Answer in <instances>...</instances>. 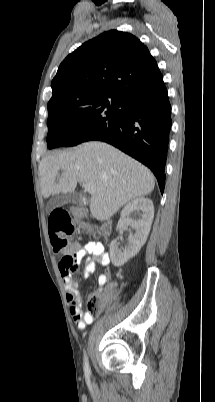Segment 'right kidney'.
Wrapping results in <instances>:
<instances>
[{
  "mask_svg": "<svg viewBox=\"0 0 215 402\" xmlns=\"http://www.w3.org/2000/svg\"><path fill=\"white\" fill-rule=\"evenodd\" d=\"M133 213L139 214L140 219H132L131 215ZM153 218L154 206L148 198H135L124 207L116 230H121L126 225H130L135 230V233L129 235L125 247H122L117 239L111 242L110 257L115 266H123L128 260L137 255L148 238Z\"/></svg>",
  "mask_w": 215,
  "mask_h": 402,
  "instance_id": "obj_1",
  "label": "right kidney"
}]
</instances>
